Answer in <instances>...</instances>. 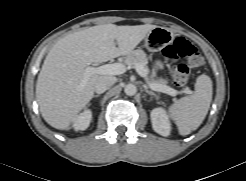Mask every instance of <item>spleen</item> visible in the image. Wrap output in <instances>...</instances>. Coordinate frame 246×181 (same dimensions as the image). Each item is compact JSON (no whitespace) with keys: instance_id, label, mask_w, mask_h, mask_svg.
I'll return each mask as SVG.
<instances>
[{"instance_id":"1","label":"spleen","mask_w":246,"mask_h":181,"mask_svg":"<svg viewBox=\"0 0 246 181\" xmlns=\"http://www.w3.org/2000/svg\"><path fill=\"white\" fill-rule=\"evenodd\" d=\"M212 93V80L203 74L196 79L192 95L182 97L169 106V115L180 135H188L202 124L210 108Z\"/></svg>"}]
</instances>
